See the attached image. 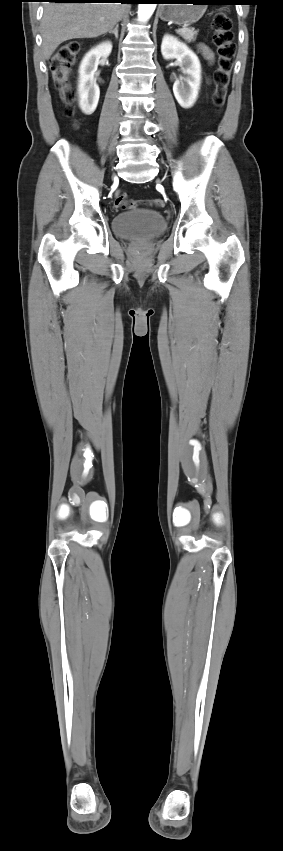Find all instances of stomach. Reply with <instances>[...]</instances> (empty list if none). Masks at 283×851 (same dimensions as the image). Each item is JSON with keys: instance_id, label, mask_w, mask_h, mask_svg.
Here are the masks:
<instances>
[{"instance_id": "1", "label": "stomach", "mask_w": 283, "mask_h": 851, "mask_svg": "<svg viewBox=\"0 0 283 851\" xmlns=\"http://www.w3.org/2000/svg\"><path fill=\"white\" fill-rule=\"evenodd\" d=\"M207 0H169L159 8V17L178 25L197 22L205 13Z\"/></svg>"}]
</instances>
